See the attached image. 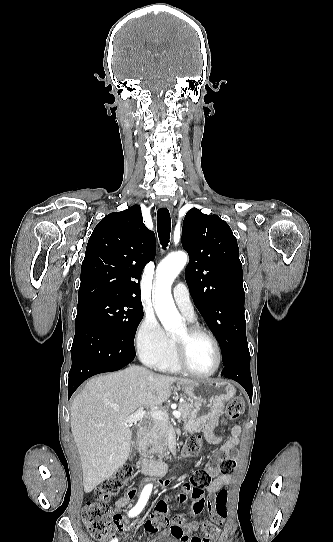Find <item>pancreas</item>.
<instances>
[{"mask_svg":"<svg viewBox=\"0 0 333 542\" xmlns=\"http://www.w3.org/2000/svg\"><path fill=\"white\" fill-rule=\"evenodd\" d=\"M190 408H192L189 402H182L179 404L177 412H181L182 422H188L191 418ZM174 430L169 422V418L164 420H154V426H150L147 434V438H143L142 446H145L142 450V456L145 458H151L154 460L155 456H158L159 460L162 458H168V436L169 432Z\"/></svg>","mask_w":333,"mask_h":542,"instance_id":"obj_1","label":"pancreas"}]
</instances>
